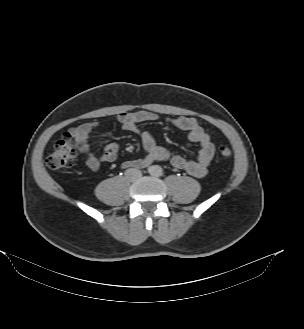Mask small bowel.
<instances>
[{
	"instance_id": "c3829d8e",
	"label": "small bowel",
	"mask_w": 304,
	"mask_h": 329,
	"mask_svg": "<svg viewBox=\"0 0 304 329\" xmlns=\"http://www.w3.org/2000/svg\"><path fill=\"white\" fill-rule=\"evenodd\" d=\"M158 119L156 113L150 111L124 112L118 115L117 122L129 132L140 137L146 155L137 160H127L122 163L124 168L145 167L156 161H169L174 167L187 172L194 177H204L211 164L214 155V144L210 135L205 131L201 122L193 117H169L167 123L176 129L185 131L188 139L199 145V153L196 160L186 159L179 155H172L168 149L157 144L153 135L140 127L141 123L152 122ZM99 127L97 121L81 124L71 129L74 135L79 153L85 164L92 171H97L102 162H113L117 159L119 146L109 143L102 149L100 156H94L88 146V139Z\"/></svg>"
}]
</instances>
